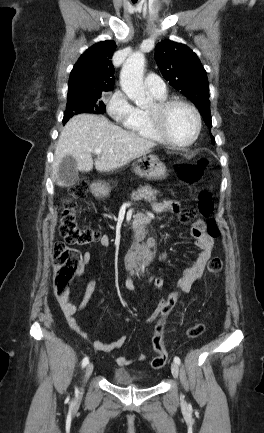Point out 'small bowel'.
I'll return each mask as SVG.
<instances>
[{"label": "small bowel", "instance_id": "c3829d8e", "mask_svg": "<svg viewBox=\"0 0 264 433\" xmlns=\"http://www.w3.org/2000/svg\"><path fill=\"white\" fill-rule=\"evenodd\" d=\"M152 209L157 213L178 212L180 210V204L179 202L171 200L155 202L152 204ZM191 235L193 236L195 240V245L199 248L200 253L194 263L184 270L182 276L177 281L178 286L184 293L190 292L194 282L202 276L206 263L211 258L214 251V239L205 231V224L202 220L198 219L193 223L191 228ZM99 243L104 247H110V240L106 236L101 237ZM91 258V253L85 251L82 256L81 268H84L91 261ZM165 258L166 255L163 256V259ZM147 281L152 282L155 288H157L158 290L163 291L165 288V281L162 278H147ZM125 286L128 290L133 291V279L128 278L126 280ZM95 291V283H89L79 309H77V307L71 302L69 292L64 296L58 297V303L68 324L78 335H80L84 340L89 341L96 350L110 353L115 349L121 347L125 343L126 337H120L119 339L112 342H103L100 340L92 341L90 339L89 332L79 323L77 319L78 312L84 310L87 307ZM164 300V298L161 299L154 313L145 320L146 323H151L156 319L159 314V307ZM142 360H144L143 355H140L133 360L126 359L122 356L115 357V362L119 366H126L131 364L132 362Z\"/></svg>", "mask_w": 264, "mask_h": 433}]
</instances>
